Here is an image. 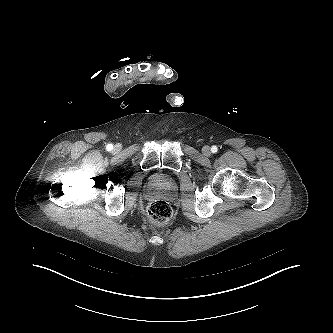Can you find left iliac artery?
Wrapping results in <instances>:
<instances>
[{
  "mask_svg": "<svg viewBox=\"0 0 333 333\" xmlns=\"http://www.w3.org/2000/svg\"><path fill=\"white\" fill-rule=\"evenodd\" d=\"M211 151L212 153H216L218 151V148L216 146H212Z\"/></svg>",
  "mask_w": 333,
  "mask_h": 333,
  "instance_id": "44dca946",
  "label": "left iliac artery"
}]
</instances>
